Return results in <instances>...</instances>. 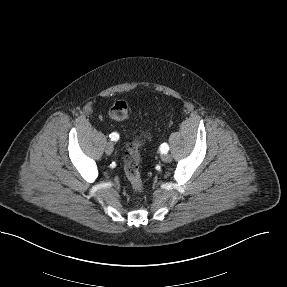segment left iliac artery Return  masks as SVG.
<instances>
[{
    "label": "left iliac artery",
    "instance_id": "left-iliac-artery-1",
    "mask_svg": "<svg viewBox=\"0 0 287 287\" xmlns=\"http://www.w3.org/2000/svg\"><path fill=\"white\" fill-rule=\"evenodd\" d=\"M160 151H161L162 154L167 153V152L169 151V146H168V144H167V143L161 144V146H160Z\"/></svg>",
    "mask_w": 287,
    "mask_h": 287
}]
</instances>
